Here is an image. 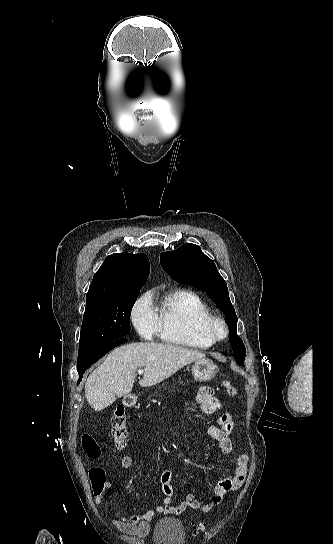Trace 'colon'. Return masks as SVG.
<instances>
[{"label":"colon","mask_w":333,"mask_h":544,"mask_svg":"<svg viewBox=\"0 0 333 544\" xmlns=\"http://www.w3.org/2000/svg\"><path fill=\"white\" fill-rule=\"evenodd\" d=\"M224 386L226 393L229 397L234 398L237 395V389L229 382L225 381ZM127 419L125 410L119 406L115 409L111 416V433L114 438L115 444L119 449H122L126 445L127 437ZM83 449L86 455L91 459H96L100 455V448L95 440L88 435H85L82 440ZM89 479L92 484L94 492L102 490L106 484V473L101 467H92L89 469ZM195 531L203 529L202 525L195 526Z\"/></svg>","instance_id":"obj_1"}]
</instances>
